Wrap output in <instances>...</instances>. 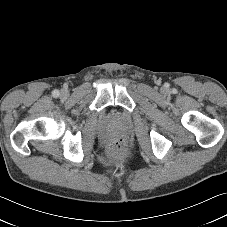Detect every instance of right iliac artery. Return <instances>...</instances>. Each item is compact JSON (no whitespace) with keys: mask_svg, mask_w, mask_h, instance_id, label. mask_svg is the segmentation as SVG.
<instances>
[{"mask_svg":"<svg viewBox=\"0 0 227 227\" xmlns=\"http://www.w3.org/2000/svg\"><path fill=\"white\" fill-rule=\"evenodd\" d=\"M52 95H53L54 97H58V96L60 95V93H59L58 90H54V91L52 92Z\"/></svg>","mask_w":227,"mask_h":227,"instance_id":"obj_1","label":"right iliac artery"}]
</instances>
